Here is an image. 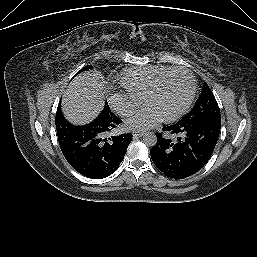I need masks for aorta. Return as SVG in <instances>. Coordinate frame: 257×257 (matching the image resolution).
I'll return each instance as SVG.
<instances>
[{
    "label": "aorta",
    "instance_id": "aorta-1",
    "mask_svg": "<svg viewBox=\"0 0 257 257\" xmlns=\"http://www.w3.org/2000/svg\"><path fill=\"white\" fill-rule=\"evenodd\" d=\"M143 142L148 146H154L157 142V136L153 132L143 134Z\"/></svg>",
    "mask_w": 257,
    "mask_h": 257
}]
</instances>
